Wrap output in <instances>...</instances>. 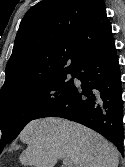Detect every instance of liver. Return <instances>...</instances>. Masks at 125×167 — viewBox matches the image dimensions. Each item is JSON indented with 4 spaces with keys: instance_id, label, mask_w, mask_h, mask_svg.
<instances>
[{
    "instance_id": "obj_1",
    "label": "liver",
    "mask_w": 125,
    "mask_h": 167,
    "mask_svg": "<svg viewBox=\"0 0 125 167\" xmlns=\"http://www.w3.org/2000/svg\"><path fill=\"white\" fill-rule=\"evenodd\" d=\"M27 148L20 155L22 165L54 167L68 158L73 167H117L116 147L97 132L62 118L32 120L20 133Z\"/></svg>"
}]
</instances>
